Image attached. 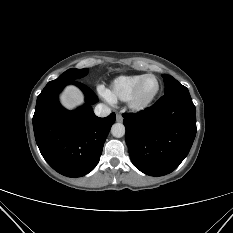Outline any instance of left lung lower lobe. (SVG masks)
Instances as JSON below:
<instances>
[{
	"mask_svg": "<svg viewBox=\"0 0 233 233\" xmlns=\"http://www.w3.org/2000/svg\"><path fill=\"white\" fill-rule=\"evenodd\" d=\"M123 117L131 161L150 176L175 170L189 153L197 131L188 89L166 93L152 107Z\"/></svg>",
	"mask_w": 233,
	"mask_h": 233,
	"instance_id": "obj_1",
	"label": "left lung lower lobe"
}]
</instances>
